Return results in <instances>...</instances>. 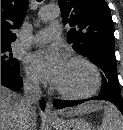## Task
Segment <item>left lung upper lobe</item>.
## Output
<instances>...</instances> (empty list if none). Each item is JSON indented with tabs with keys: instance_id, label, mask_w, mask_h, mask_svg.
<instances>
[{
	"instance_id": "1",
	"label": "left lung upper lobe",
	"mask_w": 123,
	"mask_h": 130,
	"mask_svg": "<svg viewBox=\"0 0 123 130\" xmlns=\"http://www.w3.org/2000/svg\"><path fill=\"white\" fill-rule=\"evenodd\" d=\"M63 24L70 26L68 42L102 71L99 96L123 106L116 74L114 24L104 0H58Z\"/></svg>"
}]
</instances>
